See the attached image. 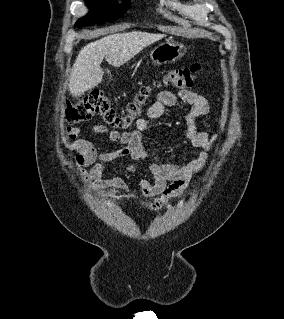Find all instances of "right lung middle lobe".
Returning <instances> with one entry per match:
<instances>
[{
    "label": "right lung middle lobe",
    "instance_id": "dd1d6c3e",
    "mask_svg": "<svg viewBox=\"0 0 284 319\" xmlns=\"http://www.w3.org/2000/svg\"><path fill=\"white\" fill-rule=\"evenodd\" d=\"M116 0H85V2L94 9H102L98 12H91L83 19H80L76 25L83 27L87 25L102 24L105 21H112L117 19L120 15L128 9V2L126 5H118Z\"/></svg>",
    "mask_w": 284,
    "mask_h": 319
}]
</instances>
